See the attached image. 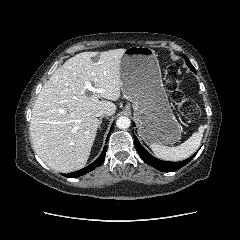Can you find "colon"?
<instances>
[{"instance_id": "colon-1", "label": "colon", "mask_w": 240, "mask_h": 240, "mask_svg": "<svg viewBox=\"0 0 240 240\" xmlns=\"http://www.w3.org/2000/svg\"><path fill=\"white\" fill-rule=\"evenodd\" d=\"M182 81V71L178 63H171L165 69V84L170 93L172 101L177 106L180 113L189 119H198L200 109L195 102L187 98L180 90Z\"/></svg>"}]
</instances>
